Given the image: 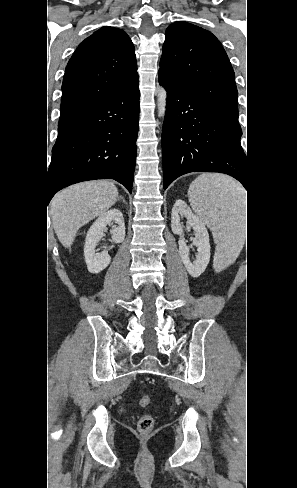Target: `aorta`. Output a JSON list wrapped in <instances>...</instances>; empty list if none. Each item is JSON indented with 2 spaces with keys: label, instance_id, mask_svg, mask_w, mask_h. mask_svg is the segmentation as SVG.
I'll list each match as a JSON object with an SVG mask.
<instances>
[{
  "label": "aorta",
  "instance_id": "aorta-1",
  "mask_svg": "<svg viewBox=\"0 0 297 488\" xmlns=\"http://www.w3.org/2000/svg\"><path fill=\"white\" fill-rule=\"evenodd\" d=\"M166 103H167V92L164 87L159 86L157 90V108H158L159 117L164 118L166 112Z\"/></svg>",
  "mask_w": 297,
  "mask_h": 488
}]
</instances>
